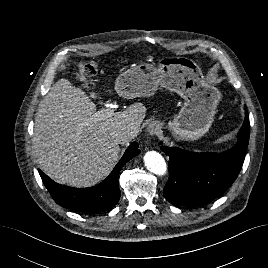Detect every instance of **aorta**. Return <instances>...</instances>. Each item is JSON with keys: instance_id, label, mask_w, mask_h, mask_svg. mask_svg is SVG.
<instances>
[{"instance_id": "1", "label": "aorta", "mask_w": 268, "mask_h": 268, "mask_svg": "<svg viewBox=\"0 0 268 268\" xmlns=\"http://www.w3.org/2000/svg\"><path fill=\"white\" fill-rule=\"evenodd\" d=\"M144 163L146 168L156 175H164L167 171V165L163 156L156 151L146 152Z\"/></svg>"}]
</instances>
